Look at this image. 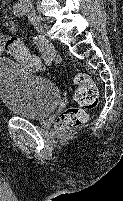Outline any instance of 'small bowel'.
Segmentation results:
<instances>
[{
	"mask_svg": "<svg viewBox=\"0 0 123 201\" xmlns=\"http://www.w3.org/2000/svg\"><path fill=\"white\" fill-rule=\"evenodd\" d=\"M3 26L5 28H7V30L9 32H12V33L15 32L17 29L16 24L12 20H9V19L4 21ZM4 38H5V36L3 34V31H2V29H0V55H2L5 52L4 48H3Z\"/></svg>",
	"mask_w": 123,
	"mask_h": 201,
	"instance_id": "1",
	"label": "small bowel"
}]
</instances>
